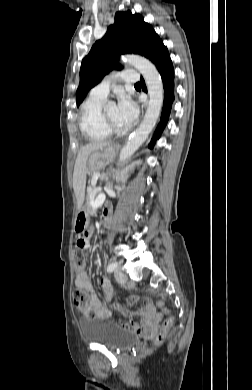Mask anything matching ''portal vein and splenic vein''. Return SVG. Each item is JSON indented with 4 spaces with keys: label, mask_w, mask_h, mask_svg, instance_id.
I'll list each match as a JSON object with an SVG mask.
<instances>
[{
    "label": "portal vein and splenic vein",
    "mask_w": 252,
    "mask_h": 390,
    "mask_svg": "<svg viewBox=\"0 0 252 390\" xmlns=\"http://www.w3.org/2000/svg\"><path fill=\"white\" fill-rule=\"evenodd\" d=\"M101 190H102V188H101V187H98V188L94 189V192H95V193H98V192H101ZM104 199H105V195H104L103 193H100V194L98 195V197L96 198L95 201L92 200V201L90 202V203H91V206H92L93 208L99 207V206L103 203Z\"/></svg>",
    "instance_id": "18ae733b"
}]
</instances>
